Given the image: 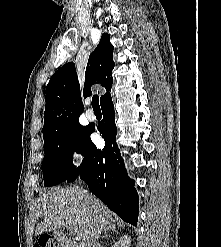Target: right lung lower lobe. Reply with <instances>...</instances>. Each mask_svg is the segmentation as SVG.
Here are the masks:
<instances>
[{
    "mask_svg": "<svg viewBox=\"0 0 221 247\" xmlns=\"http://www.w3.org/2000/svg\"><path fill=\"white\" fill-rule=\"evenodd\" d=\"M103 120L98 131L105 140V147L98 149L89 140L81 165L74 169L67 182L77 177L84 180L90 191L105 203L122 220L134 226L138 220V194L126 172L116 143L115 113L112 98L101 104ZM94 131L89 127V133Z\"/></svg>",
    "mask_w": 221,
    "mask_h": 247,
    "instance_id": "1",
    "label": "right lung lower lobe"
}]
</instances>
